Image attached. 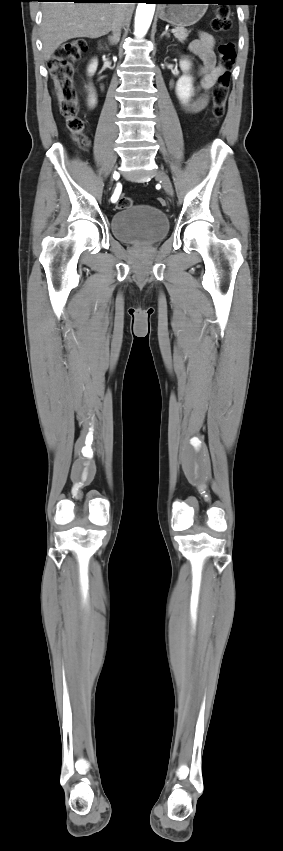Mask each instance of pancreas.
<instances>
[{"instance_id": "cf45deb5", "label": "pancreas", "mask_w": 283, "mask_h": 851, "mask_svg": "<svg viewBox=\"0 0 283 851\" xmlns=\"http://www.w3.org/2000/svg\"><path fill=\"white\" fill-rule=\"evenodd\" d=\"M175 30L176 31L173 32L175 38H177L180 42H184L188 37L189 31H187L184 27H175Z\"/></svg>"}]
</instances>
